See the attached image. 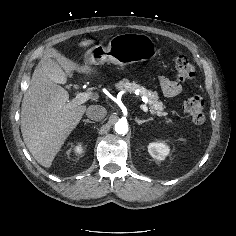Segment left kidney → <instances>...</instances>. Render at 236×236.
<instances>
[{
	"label": "left kidney",
	"mask_w": 236,
	"mask_h": 236,
	"mask_svg": "<svg viewBox=\"0 0 236 236\" xmlns=\"http://www.w3.org/2000/svg\"><path fill=\"white\" fill-rule=\"evenodd\" d=\"M149 154L157 160H164L170 149L164 142H152L148 145Z\"/></svg>",
	"instance_id": "5707ae66"
}]
</instances>
